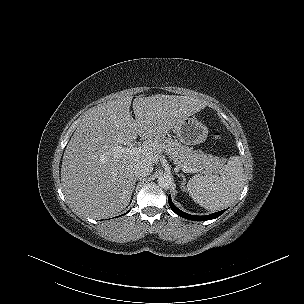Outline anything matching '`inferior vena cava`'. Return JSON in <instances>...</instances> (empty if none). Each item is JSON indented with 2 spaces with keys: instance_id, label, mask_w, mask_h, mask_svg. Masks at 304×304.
<instances>
[{
  "instance_id": "obj_1",
  "label": "inferior vena cava",
  "mask_w": 304,
  "mask_h": 304,
  "mask_svg": "<svg viewBox=\"0 0 304 304\" xmlns=\"http://www.w3.org/2000/svg\"><path fill=\"white\" fill-rule=\"evenodd\" d=\"M153 171V164L147 161H141L134 166V175L137 178H142L150 175Z\"/></svg>"
}]
</instances>
